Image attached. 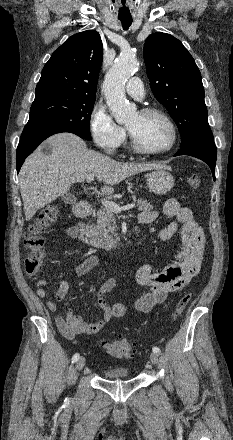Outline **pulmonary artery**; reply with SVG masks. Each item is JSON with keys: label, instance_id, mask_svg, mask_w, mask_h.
<instances>
[{"label": "pulmonary artery", "instance_id": "1", "mask_svg": "<svg viewBox=\"0 0 233 440\" xmlns=\"http://www.w3.org/2000/svg\"><path fill=\"white\" fill-rule=\"evenodd\" d=\"M126 92L135 99L144 97V88L142 80L139 77H132L126 84Z\"/></svg>", "mask_w": 233, "mask_h": 440}]
</instances>
